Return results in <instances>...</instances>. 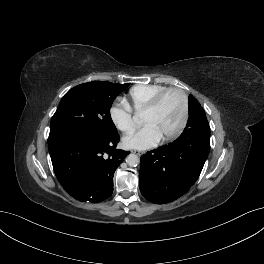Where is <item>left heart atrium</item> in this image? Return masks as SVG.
Returning <instances> with one entry per match:
<instances>
[{"mask_svg":"<svg viewBox=\"0 0 264 264\" xmlns=\"http://www.w3.org/2000/svg\"><path fill=\"white\" fill-rule=\"evenodd\" d=\"M162 139L159 132L151 124H145L137 131L123 138V145L128 149L144 150L156 146Z\"/></svg>","mask_w":264,"mask_h":264,"instance_id":"39dd6f15","label":"left heart atrium"}]
</instances>
